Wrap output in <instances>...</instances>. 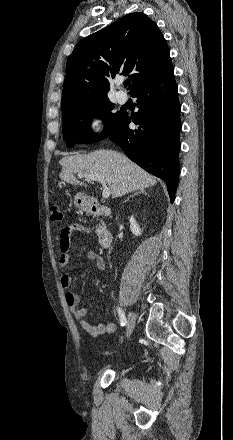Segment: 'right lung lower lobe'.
Returning <instances> with one entry per match:
<instances>
[{"mask_svg": "<svg viewBox=\"0 0 233 440\" xmlns=\"http://www.w3.org/2000/svg\"><path fill=\"white\" fill-rule=\"evenodd\" d=\"M139 111L124 114L115 130L108 135L126 155L144 170L165 180L171 202L179 177L180 103L171 66L163 74L141 85L133 93ZM138 125L130 129L129 123Z\"/></svg>", "mask_w": 233, "mask_h": 440, "instance_id": "right-lung-lower-lobe-1", "label": "right lung lower lobe"}]
</instances>
